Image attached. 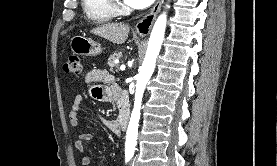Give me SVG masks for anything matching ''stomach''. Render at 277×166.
I'll list each match as a JSON object with an SVG mask.
<instances>
[{
  "label": "stomach",
  "instance_id": "obj_1",
  "mask_svg": "<svg viewBox=\"0 0 277 166\" xmlns=\"http://www.w3.org/2000/svg\"><path fill=\"white\" fill-rule=\"evenodd\" d=\"M70 48L73 53L82 56H97L102 53V47L99 43L82 35L71 38Z\"/></svg>",
  "mask_w": 277,
  "mask_h": 166
}]
</instances>
